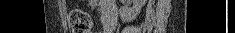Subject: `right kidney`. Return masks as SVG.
I'll use <instances>...</instances> for the list:
<instances>
[{
    "mask_svg": "<svg viewBox=\"0 0 235 33\" xmlns=\"http://www.w3.org/2000/svg\"><path fill=\"white\" fill-rule=\"evenodd\" d=\"M146 0H133V7L120 10V16L123 21L134 19L141 11Z\"/></svg>",
    "mask_w": 235,
    "mask_h": 33,
    "instance_id": "1",
    "label": "right kidney"
}]
</instances>
